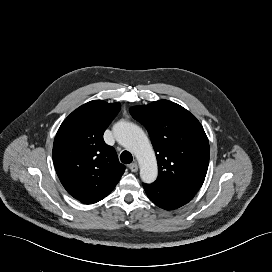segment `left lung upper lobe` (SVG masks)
<instances>
[{"instance_id": "5c2ea615", "label": "left lung upper lobe", "mask_w": 272, "mask_h": 272, "mask_svg": "<svg viewBox=\"0 0 272 272\" xmlns=\"http://www.w3.org/2000/svg\"><path fill=\"white\" fill-rule=\"evenodd\" d=\"M129 110L146 127L155 149L159 168L155 183L196 193L204 182L210 155L200 122L188 110L168 100Z\"/></svg>"}]
</instances>
